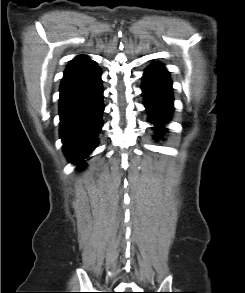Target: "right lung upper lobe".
Here are the masks:
<instances>
[{
    "mask_svg": "<svg viewBox=\"0 0 245 293\" xmlns=\"http://www.w3.org/2000/svg\"><path fill=\"white\" fill-rule=\"evenodd\" d=\"M96 67L95 62L85 55L77 56L73 59L64 72L62 83L73 80Z\"/></svg>",
    "mask_w": 245,
    "mask_h": 293,
    "instance_id": "right-lung-upper-lobe-1",
    "label": "right lung upper lobe"
}]
</instances>
